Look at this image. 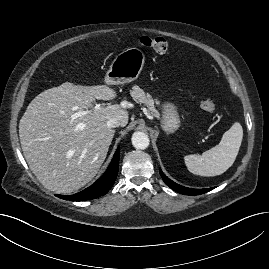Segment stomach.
Here are the masks:
<instances>
[{"mask_svg": "<svg viewBox=\"0 0 269 269\" xmlns=\"http://www.w3.org/2000/svg\"><path fill=\"white\" fill-rule=\"evenodd\" d=\"M144 52L137 48H128L119 53L105 76L108 85L130 83L138 78L144 64ZM180 126V118L177 107L171 102H164L162 105L161 127L167 133L175 132Z\"/></svg>", "mask_w": 269, "mask_h": 269, "instance_id": "obj_1", "label": "stomach"}]
</instances>
